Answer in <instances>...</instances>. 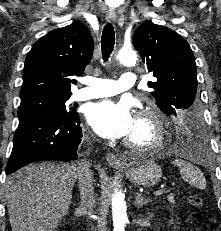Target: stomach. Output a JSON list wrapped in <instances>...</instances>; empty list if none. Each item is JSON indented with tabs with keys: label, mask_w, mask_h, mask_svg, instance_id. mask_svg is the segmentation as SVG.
Listing matches in <instances>:
<instances>
[{
	"label": "stomach",
	"mask_w": 221,
	"mask_h": 231,
	"mask_svg": "<svg viewBox=\"0 0 221 231\" xmlns=\"http://www.w3.org/2000/svg\"><path fill=\"white\" fill-rule=\"evenodd\" d=\"M126 178L133 184L143 187L156 185L162 177L161 168L152 161L144 160L124 171Z\"/></svg>",
	"instance_id": "0dacf381"
}]
</instances>
